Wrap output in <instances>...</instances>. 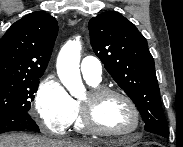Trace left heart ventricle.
<instances>
[{
    "mask_svg": "<svg viewBox=\"0 0 183 147\" xmlns=\"http://www.w3.org/2000/svg\"><path fill=\"white\" fill-rule=\"evenodd\" d=\"M88 95L83 99L86 100ZM95 116L99 124L115 131H129L135 126V118L129 105L118 96H110L97 103Z\"/></svg>",
    "mask_w": 183,
    "mask_h": 147,
    "instance_id": "b2bd125f",
    "label": "left heart ventricle"
}]
</instances>
